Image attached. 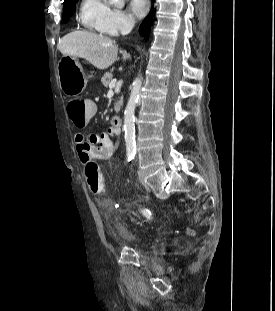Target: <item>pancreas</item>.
<instances>
[{"label":"pancreas","mask_w":275,"mask_h":311,"mask_svg":"<svg viewBox=\"0 0 275 311\" xmlns=\"http://www.w3.org/2000/svg\"><path fill=\"white\" fill-rule=\"evenodd\" d=\"M112 79H113V74L111 72H107L102 77L101 82L104 85V87H108ZM116 105H118V103H116Z\"/></svg>","instance_id":"1"}]
</instances>
